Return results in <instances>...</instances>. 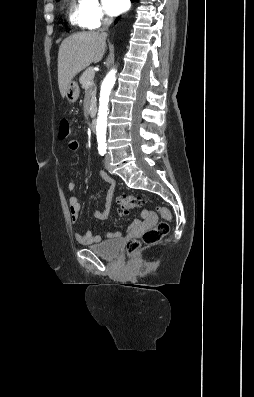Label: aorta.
<instances>
[{
  "label": "aorta",
  "mask_w": 254,
  "mask_h": 397,
  "mask_svg": "<svg viewBox=\"0 0 254 397\" xmlns=\"http://www.w3.org/2000/svg\"><path fill=\"white\" fill-rule=\"evenodd\" d=\"M115 74L116 70L112 69L105 77L101 86L99 111L96 126L97 142L100 147L106 146L108 102L111 89L115 83Z\"/></svg>",
  "instance_id": "762f6f07"
}]
</instances>
